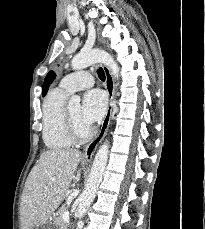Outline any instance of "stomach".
Segmentation results:
<instances>
[{
  "label": "stomach",
  "mask_w": 205,
  "mask_h": 229,
  "mask_svg": "<svg viewBox=\"0 0 205 229\" xmlns=\"http://www.w3.org/2000/svg\"><path fill=\"white\" fill-rule=\"evenodd\" d=\"M36 229H58V226L53 220L48 219L44 224L40 225Z\"/></svg>",
  "instance_id": "0dacf381"
}]
</instances>
